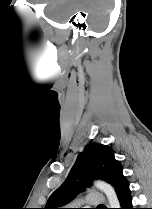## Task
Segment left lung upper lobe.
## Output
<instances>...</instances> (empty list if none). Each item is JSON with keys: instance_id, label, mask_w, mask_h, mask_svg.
<instances>
[{"instance_id": "5c2ea615", "label": "left lung upper lobe", "mask_w": 152, "mask_h": 209, "mask_svg": "<svg viewBox=\"0 0 152 209\" xmlns=\"http://www.w3.org/2000/svg\"><path fill=\"white\" fill-rule=\"evenodd\" d=\"M122 171V165L115 159L111 147L88 144L78 155L65 182L49 197L44 209H61L59 207L68 204L79 192L91 186L94 179L105 180L117 192L127 180Z\"/></svg>"}]
</instances>
